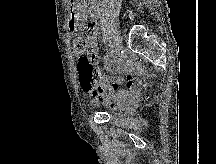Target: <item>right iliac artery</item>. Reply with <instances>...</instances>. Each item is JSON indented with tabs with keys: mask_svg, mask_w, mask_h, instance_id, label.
<instances>
[{
	"mask_svg": "<svg viewBox=\"0 0 216 164\" xmlns=\"http://www.w3.org/2000/svg\"><path fill=\"white\" fill-rule=\"evenodd\" d=\"M109 48H110V52H109V54H110V56L111 55H113V52H114V46L111 44V43H109Z\"/></svg>",
	"mask_w": 216,
	"mask_h": 164,
	"instance_id": "right-iliac-artery-1",
	"label": "right iliac artery"
}]
</instances>
